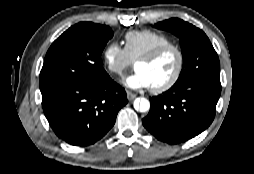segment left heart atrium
<instances>
[{"label":"left heart atrium","mask_w":254,"mask_h":174,"mask_svg":"<svg viewBox=\"0 0 254 174\" xmlns=\"http://www.w3.org/2000/svg\"><path fill=\"white\" fill-rule=\"evenodd\" d=\"M123 83L131 89H145L152 87L149 77L141 70H136L134 73L124 77Z\"/></svg>","instance_id":"1"}]
</instances>
